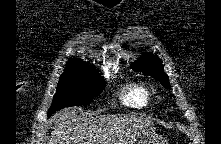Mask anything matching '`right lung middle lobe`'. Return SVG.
<instances>
[{
    "label": "right lung middle lobe",
    "instance_id": "1",
    "mask_svg": "<svg viewBox=\"0 0 221 144\" xmlns=\"http://www.w3.org/2000/svg\"><path fill=\"white\" fill-rule=\"evenodd\" d=\"M105 85L104 78L94 67L66 68L60 76L48 117L64 107L91 103Z\"/></svg>",
    "mask_w": 221,
    "mask_h": 144
}]
</instances>
